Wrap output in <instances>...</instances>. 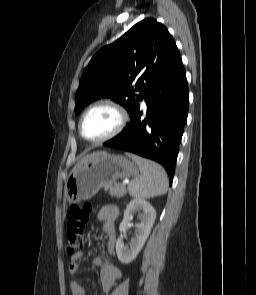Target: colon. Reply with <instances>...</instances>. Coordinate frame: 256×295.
<instances>
[{"instance_id":"colon-1","label":"colon","mask_w":256,"mask_h":295,"mask_svg":"<svg viewBox=\"0 0 256 295\" xmlns=\"http://www.w3.org/2000/svg\"><path fill=\"white\" fill-rule=\"evenodd\" d=\"M91 212L92 207L88 203L74 204L70 207L66 243V250L69 255H75L82 249L84 229Z\"/></svg>"}]
</instances>
